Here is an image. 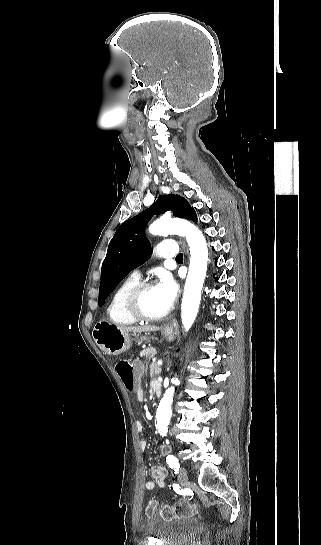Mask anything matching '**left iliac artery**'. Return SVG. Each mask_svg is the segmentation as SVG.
Listing matches in <instances>:
<instances>
[{"label": "left iliac artery", "instance_id": "obj_1", "mask_svg": "<svg viewBox=\"0 0 321 545\" xmlns=\"http://www.w3.org/2000/svg\"><path fill=\"white\" fill-rule=\"evenodd\" d=\"M166 462L169 465V467L172 468L175 471V473H177V470L180 467L178 459L173 455H168L166 457Z\"/></svg>", "mask_w": 321, "mask_h": 545}]
</instances>
